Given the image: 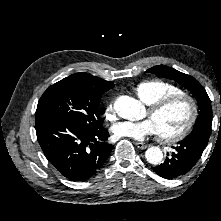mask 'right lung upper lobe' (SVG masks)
Listing matches in <instances>:
<instances>
[{"label": "right lung upper lobe", "mask_w": 221, "mask_h": 221, "mask_svg": "<svg viewBox=\"0 0 221 221\" xmlns=\"http://www.w3.org/2000/svg\"><path fill=\"white\" fill-rule=\"evenodd\" d=\"M66 79L88 83L97 86L104 91H108L109 89L114 87V83L112 81H106L96 76L83 72L72 74L69 77H66Z\"/></svg>", "instance_id": "obj_1"}]
</instances>
